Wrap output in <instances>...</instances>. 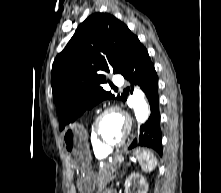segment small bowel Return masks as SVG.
<instances>
[{"mask_svg": "<svg viewBox=\"0 0 221 193\" xmlns=\"http://www.w3.org/2000/svg\"><path fill=\"white\" fill-rule=\"evenodd\" d=\"M106 193H112L111 191H107Z\"/></svg>", "mask_w": 221, "mask_h": 193, "instance_id": "c3829d8e", "label": "small bowel"}]
</instances>
